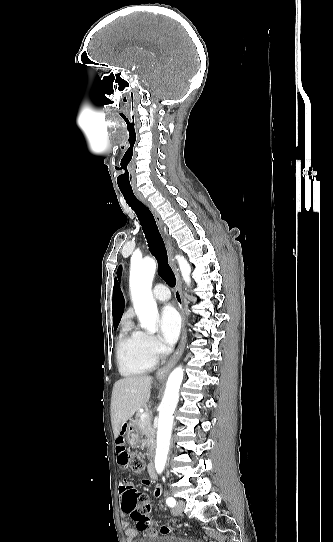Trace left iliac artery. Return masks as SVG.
Masks as SVG:
<instances>
[{
    "mask_svg": "<svg viewBox=\"0 0 333 542\" xmlns=\"http://www.w3.org/2000/svg\"><path fill=\"white\" fill-rule=\"evenodd\" d=\"M166 503H167L168 506L173 507L176 504V501H175L174 498L169 497V498H167Z\"/></svg>",
    "mask_w": 333,
    "mask_h": 542,
    "instance_id": "44dca946",
    "label": "left iliac artery"
}]
</instances>
